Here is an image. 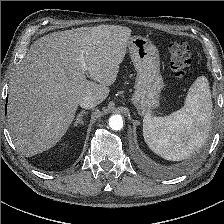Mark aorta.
<instances>
[{"label": "aorta", "instance_id": "762f6f07", "mask_svg": "<svg viewBox=\"0 0 224 224\" xmlns=\"http://www.w3.org/2000/svg\"><path fill=\"white\" fill-rule=\"evenodd\" d=\"M109 126L112 130H120L123 127V119L121 115H113L109 119Z\"/></svg>", "mask_w": 224, "mask_h": 224}]
</instances>
